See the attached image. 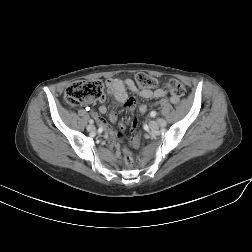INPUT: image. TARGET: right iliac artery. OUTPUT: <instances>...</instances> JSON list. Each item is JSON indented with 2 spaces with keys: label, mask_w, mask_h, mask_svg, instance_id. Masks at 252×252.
Masks as SVG:
<instances>
[{
  "label": "right iliac artery",
  "mask_w": 252,
  "mask_h": 252,
  "mask_svg": "<svg viewBox=\"0 0 252 252\" xmlns=\"http://www.w3.org/2000/svg\"><path fill=\"white\" fill-rule=\"evenodd\" d=\"M103 132H104V128L100 127L99 130H98V134H102Z\"/></svg>",
  "instance_id": "82829eb1"
}]
</instances>
